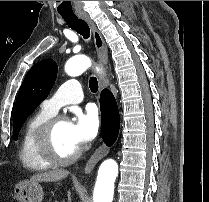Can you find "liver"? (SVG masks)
<instances>
[{"label":"liver","instance_id":"obj_1","mask_svg":"<svg viewBox=\"0 0 209 202\" xmlns=\"http://www.w3.org/2000/svg\"><path fill=\"white\" fill-rule=\"evenodd\" d=\"M69 172L66 170H53V171H47L38 173L36 175H33L30 178V181L32 182H55L62 179H65L68 176Z\"/></svg>","mask_w":209,"mask_h":202}]
</instances>
